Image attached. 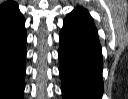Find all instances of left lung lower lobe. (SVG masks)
<instances>
[{"mask_svg":"<svg viewBox=\"0 0 128 99\" xmlns=\"http://www.w3.org/2000/svg\"><path fill=\"white\" fill-rule=\"evenodd\" d=\"M59 40L63 99H101V45L94 22L85 8L77 7L64 19Z\"/></svg>","mask_w":128,"mask_h":99,"instance_id":"1","label":"left lung lower lobe"}]
</instances>
